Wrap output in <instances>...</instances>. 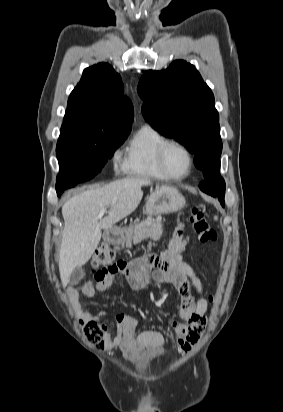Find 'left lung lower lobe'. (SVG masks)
<instances>
[{
	"label": "left lung lower lobe",
	"mask_w": 283,
	"mask_h": 412,
	"mask_svg": "<svg viewBox=\"0 0 283 412\" xmlns=\"http://www.w3.org/2000/svg\"><path fill=\"white\" fill-rule=\"evenodd\" d=\"M223 180L224 179L220 175V162H219L216 165L215 170L211 173L210 177L205 178L204 181H202L200 183L199 187L203 192L207 193V184H208L209 181L219 182V181H223ZM219 201H220L221 205L224 207L225 206L224 199H219Z\"/></svg>",
	"instance_id": "obj_1"
}]
</instances>
